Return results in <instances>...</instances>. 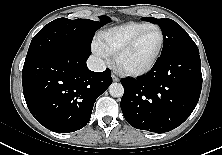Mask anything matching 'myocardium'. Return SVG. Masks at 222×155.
Returning a JSON list of instances; mask_svg holds the SVG:
<instances>
[{"label":"myocardium","mask_w":222,"mask_h":155,"mask_svg":"<svg viewBox=\"0 0 222 155\" xmlns=\"http://www.w3.org/2000/svg\"><path fill=\"white\" fill-rule=\"evenodd\" d=\"M155 29L159 32L160 34V45L159 48L154 56V58L152 59V61L145 67L141 68V69H126L121 65V60L123 58V56L128 53L136 44L137 42L150 30ZM164 44H165V36L164 33L162 31V29L157 26V25H152L142 31H140L138 34H136L133 38H131L126 44H124L116 53H115V63L117 65V67L126 75L128 76H132V77H139V76H143L147 73H149L157 64V62L159 61L163 48H164Z\"/></svg>","instance_id":"f54148a6"}]
</instances>
